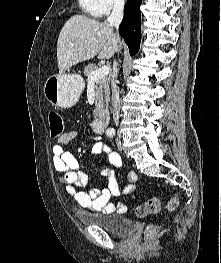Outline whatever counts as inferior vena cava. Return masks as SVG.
<instances>
[{
    "label": "inferior vena cava",
    "instance_id": "obj_1",
    "mask_svg": "<svg viewBox=\"0 0 221 263\" xmlns=\"http://www.w3.org/2000/svg\"><path fill=\"white\" fill-rule=\"evenodd\" d=\"M123 8H124V0H114L113 9L111 15L108 17L107 21L110 26H114L118 29L122 18H123ZM114 72L117 73V63L114 62L113 64ZM112 106H113V119L118 126L119 124V114H120V98H119V88L118 86L113 83L112 87ZM118 137H121V134L118 131Z\"/></svg>",
    "mask_w": 221,
    "mask_h": 263
}]
</instances>
